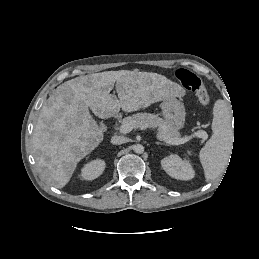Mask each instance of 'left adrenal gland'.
<instances>
[{
	"mask_svg": "<svg viewBox=\"0 0 259 259\" xmlns=\"http://www.w3.org/2000/svg\"><path fill=\"white\" fill-rule=\"evenodd\" d=\"M157 145H167L166 143L156 142Z\"/></svg>",
	"mask_w": 259,
	"mask_h": 259,
	"instance_id": "a2214340",
	"label": "left adrenal gland"
}]
</instances>
